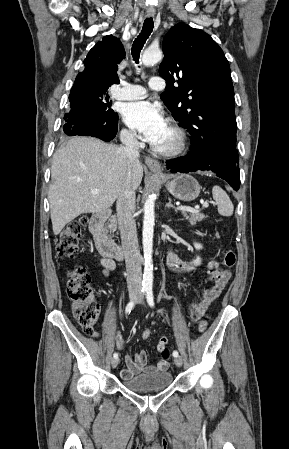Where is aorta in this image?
I'll list each match as a JSON object with an SVG mask.
<instances>
[{
	"instance_id": "aorta-1",
	"label": "aorta",
	"mask_w": 289,
	"mask_h": 449,
	"mask_svg": "<svg viewBox=\"0 0 289 449\" xmlns=\"http://www.w3.org/2000/svg\"><path fill=\"white\" fill-rule=\"evenodd\" d=\"M162 51L160 49L148 48L142 55V63L146 66L153 65L162 60ZM155 197L149 196L144 204L143 219V253H144V273L142 285L144 288H152L153 284V231L155 220Z\"/></svg>"
}]
</instances>
